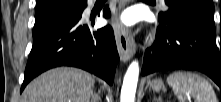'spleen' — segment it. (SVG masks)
Returning <instances> with one entry per match:
<instances>
[{"label": "spleen", "instance_id": "1", "mask_svg": "<svg viewBox=\"0 0 221 102\" xmlns=\"http://www.w3.org/2000/svg\"><path fill=\"white\" fill-rule=\"evenodd\" d=\"M167 83L180 102H186L192 96L195 102H217L211 84L198 74L175 71L167 77Z\"/></svg>", "mask_w": 221, "mask_h": 102}]
</instances>
